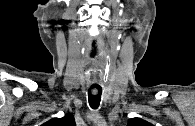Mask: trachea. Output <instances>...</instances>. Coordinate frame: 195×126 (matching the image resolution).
<instances>
[{
  "mask_svg": "<svg viewBox=\"0 0 195 126\" xmlns=\"http://www.w3.org/2000/svg\"><path fill=\"white\" fill-rule=\"evenodd\" d=\"M101 93H102V89L100 87H97L96 94H92L91 91L88 93V101H89V105L92 109L98 108V106L100 104V100H101Z\"/></svg>",
  "mask_w": 195,
  "mask_h": 126,
  "instance_id": "obj_1",
  "label": "trachea"
}]
</instances>
